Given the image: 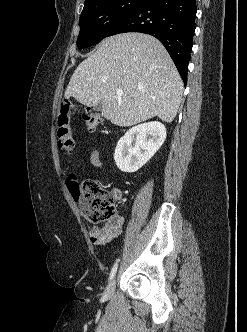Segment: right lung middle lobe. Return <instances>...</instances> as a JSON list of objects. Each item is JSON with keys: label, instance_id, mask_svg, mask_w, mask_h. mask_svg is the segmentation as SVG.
Masks as SVG:
<instances>
[{"label": "right lung middle lobe", "instance_id": "1", "mask_svg": "<svg viewBox=\"0 0 247 332\" xmlns=\"http://www.w3.org/2000/svg\"><path fill=\"white\" fill-rule=\"evenodd\" d=\"M147 0H100L84 8L77 39L79 49L99 43L108 36L115 24Z\"/></svg>", "mask_w": 247, "mask_h": 332}]
</instances>
